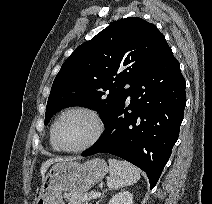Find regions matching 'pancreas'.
<instances>
[{
	"instance_id": "obj_1",
	"label": "pancreas",
	"mask_w": 212,
	"mask_h": 204,
	"mask_svg": "<svg viewBox=\"0 0 212 204\" xmlns=\"http://www.w3.org/2000/svg\"><path fill=\"white\" fill-rule=\"evenodd\" d=\"M94 192L87 193L85 195H81L74 192H66L63 197L68 202V204H91L92 195Z\"/></svg>"
}]
</instances>
